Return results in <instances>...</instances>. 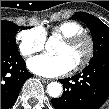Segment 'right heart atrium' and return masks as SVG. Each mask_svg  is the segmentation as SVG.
<instances>
[{"label": "right heart atrium", "instance_id": "1", "mask_svg": "<svg viewBox=\"0 0 109 109\" xmlns=\"http://www.w3.org/2000/svg\"><path fill=\"white\" fill-rule=\"evenodd\" d=\"M16 41L20 53L28 57L44 49L46 35L40 28L23 30L17 34Z\"/></svg>", "mask_w": 109, "mask_h": 109}]
</instances>
